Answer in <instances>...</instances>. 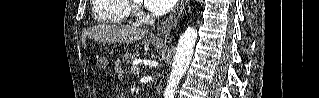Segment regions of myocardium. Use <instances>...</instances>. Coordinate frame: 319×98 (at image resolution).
<instances>
[{
  "label": "myocardium",
  "instance_id": "obj_1",
  "mask_svg": "<svg viewBox=\"0 0 319 98\" xmlns=\"http://www.w3.org/2000/svg\"><path fill=\"white\" fill-rule=\"evenodd\" d=\"M137 3H138L137 1H133L134 7H136Z\"/></svg>",
  "mask_w": 319,
  "mask_h": 98
}]
</instances>
